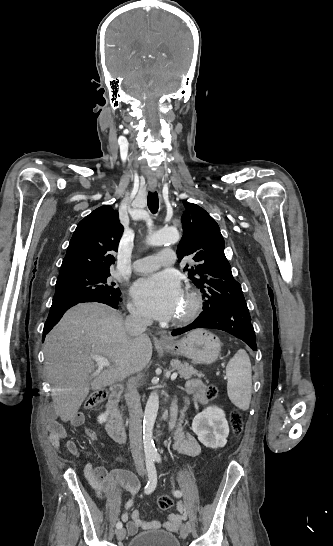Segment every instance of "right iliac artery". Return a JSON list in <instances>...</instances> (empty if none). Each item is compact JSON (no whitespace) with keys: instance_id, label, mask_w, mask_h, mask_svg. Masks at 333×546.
<instances>
[{"instance_id":"1","label":"right iliac artery","mask_w":333,"mask_h":546,"mask_svg":"<svg viewBox=\"0 0 333 546\" xmlns=\"http://www.w3.org/2000/svg\"><path fill=\"white\" fill-rule=\"evenodd\" d=\"M146 468L148 473V483L145 487V493L150 494L154 491L157 485V473L153 457L146 458ZM122 526V522L120 521L116 524L117 529H121Z\"/></svg>"}]
</instances>
